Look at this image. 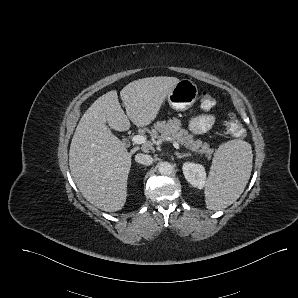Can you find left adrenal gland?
I'll return each mask as SVG.
<instances>
[{
	"instance_id": "obj_1",
	"label": "left adrenal gland",
	"mask_w": 298,
	"mask_h": 298,
	"mask_svg": "<svg viewBox=\"0 0 298 298\" xmlns=\"http://www.w3.org/2000/svg\"><path fill=\"white\" fill-rule=\"evenodd\" d=\"M175 155L177 156V158L182 159L184 157H189L191 156L190 153H179V152H175Z\"/></svg>"
}]
</instances>
